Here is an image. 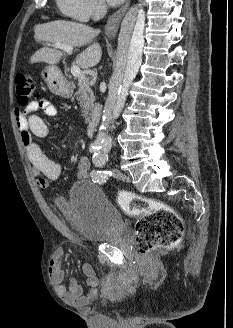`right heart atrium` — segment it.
Returning a JSON list of instances; mask_svg holds the SVG:
<instances>
[{
    "mask_svg": "<svg viewBox=\"0 0 233 328\" xmlns=\"http://www.w3.org/2000/svg\"><path fill=\"white\" fill-rule=\"evenodd\" d=\"M61 11L80 22L98 17L104 10L102 0H57Z\"/></svg>",
    "mask_w": 233,
    "mask_h": 328,
    "instance_id": "obj_1",
    "label": "right heart atrium"
}]
</instances>
